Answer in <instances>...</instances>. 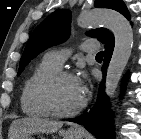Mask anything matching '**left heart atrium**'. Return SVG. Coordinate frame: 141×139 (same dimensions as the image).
Returning <instances> with one entry per match:
<instances>
[{
    "mask_svg": "<svg viewBox=\"0 0 141 139\" xmlns=\"http://www.w3.org/2000/svg\"><path fill=\"white\" fill-rule=\"evenodd\" d=\"M76 80L82 96L85 97L87 93L86 77L83 75L81 77H77Z\"/></svg>",
    "mask_w": 141,
    "mask_h": 139,
    "instance_id": "obj_1",
    "label": "left heart atrium"
}]
</instances>
